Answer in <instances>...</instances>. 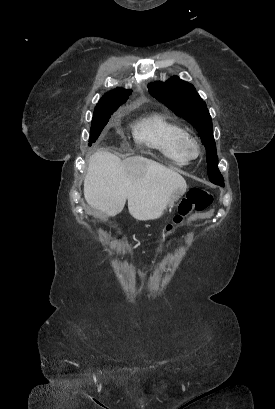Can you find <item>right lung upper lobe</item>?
I'll use <instances>...</instances> for the list:
<instances>
[{"instance_id":"right-lung-upper-lobe-1","label":"right lung upper lobe","mask_w":275,"mask_h":409,"mask_svg":"<svg viewBox=\"0 0 275 409\" xmlns=\"http://www.w3.org/2000/svg\"><path fill=\"white\" fill-rule=\"evenodd\" d=\"M131 94V90L116 89L106 93L98 102L94 112L117 109L123 104L128 96Z\"/></svg>"}]
</instances>
